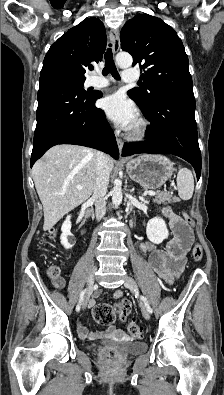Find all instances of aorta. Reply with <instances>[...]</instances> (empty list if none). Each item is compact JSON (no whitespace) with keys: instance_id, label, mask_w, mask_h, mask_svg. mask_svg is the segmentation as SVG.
<instances>
[{"instance_id":"1","label":"aorta","mask_w":224,"mask_h":395,"mask_svg":"<svg viewBox=\"0 0 224 395\" xmlns=\"http://www.w3.org/2000/svg\"><path fill=\"white\" fill-rule=\"evenodd\" d=\"M132 56L129 53H119L116 56V63L120 68H128L132 65ZM122 201V182L119 179L114 181L112 189V203L119 206Z\"/></svg>"}]
</instances>
